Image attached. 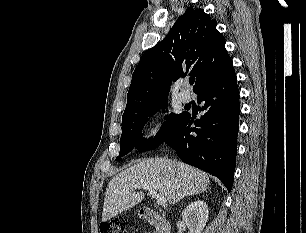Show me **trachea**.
<instances>
[{"instance_id": "1", "label": "trachea", "mask_w": 306, "mask_h": 233, "mask_svg": "<svg viewBox=\"0 0 306 233\" xmlns=\"http://www.w3.org/2000/svg\"><path fill=\"white\" fill-rule=\"evenodd\" d=\"M194 82H195V78H190V79H189V83H190V84H193Z\"/></svg>"}]
</instances>
